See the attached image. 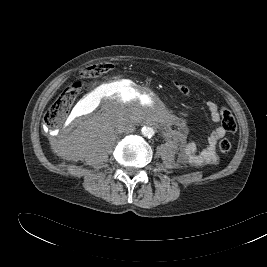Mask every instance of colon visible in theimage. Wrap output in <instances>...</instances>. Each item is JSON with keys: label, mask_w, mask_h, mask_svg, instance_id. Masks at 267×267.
I'll list each match as a JSON object with an SVG mask.
<instances>
[{"label": "colon", "mask_w": 267, "mask_h": 267, "mask_svg": "<svg viewBox=\"0 0 267 267\" xmlns=\"http://www.w3.org/2000/svg\"><path fill=\"white\" fill-rule=\"evenodd\" d=\"M110 67V64H96L86 67L81 70V75L83 77H95L105 71ZM177 90L184 96L189 95V89L187 86L176 83ZM81 89L80 82H74L66 86L58 98L50 105L47 109L44 122L46 126L50 129L59 126L63 120L66 118L69 109L73 105L79 91ZM221 122L222 125L229 131L234 132L237 128V124L233 114L226 108H221ZM219 150L221 153L226 154L231 150V142L224 138L219 142Z\"/></svg>", "instance_id": "colon-1"}]
</instances>
